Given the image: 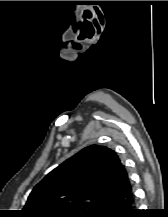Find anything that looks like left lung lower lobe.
<instances>
[{
    "label": "left lung lower lobe",
    "mask_w": 168,
    "mask_h": 217,
    "mask_svg": "<svg viewBox=\"0 0 168 217\" xmlns=\"http://www.w3.org/2000/svg\"><path fill=\"white\" fill-rule=\"evenodd\" d=\"M135 199L131 183L111 196L97 217H137Z\"/></svg>",
    "instance_id": "0a47b994"
}]
</instances>
